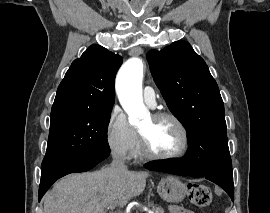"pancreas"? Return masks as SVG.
I'll list each match as a JSON object with an SVG mask.
<instances>
[{
    "mask_svg": "<svg viewBox=\"0 0 270 213\" xmlns=\"http://www.w3.org/2000/svg\"><path fill=\"white\" fill-rule=\"evenodd\" d=\"M149 207L152 209L153 213H164V210L158 205L149 203Z\"/></svg>",
    "mask_w": 270,
    "mask_h": 213,
    "instance_id": "cf45deb5",
    "label": "pancreas"
}]
</instances>
